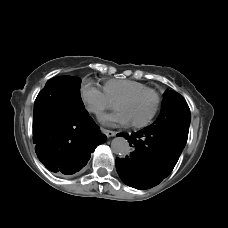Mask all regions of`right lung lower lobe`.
Wrapping results in <instances>:
<instances>
[{
    "instance_id": "1",
    "label": "right lung lower lobe",
    "mask_w": 228,
    "mask_h": 228,
    "mask_svg": "<svg viewBox=\"0 0 228 228\" xmlns=\"http://www.w3.org/2000/svg\"><path fill=\"white\" fill-rule=\"evenodd\" d=\"M33 119L35 151L50 171H79L95 148L106 141L83 103L70 105L58 99L54 86H45L38 94Z\"/></svg>"
}]
</instances>
